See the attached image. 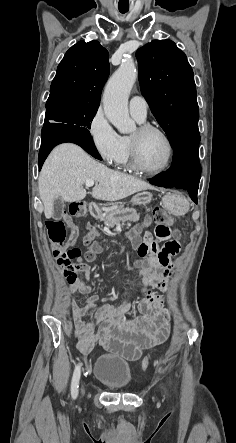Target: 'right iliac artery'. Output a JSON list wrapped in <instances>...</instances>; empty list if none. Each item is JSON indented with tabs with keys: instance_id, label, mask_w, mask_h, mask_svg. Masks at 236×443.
<instances>
[{
	"instance_id": "82829eb1",
	"label": "right iliac artery",
	"mask_w": 236,
	"mask_h": 443,
	"mask_svg": "<svg viewBox=\"0 0 236 443\" xmlns=\"http://www.w3.org/2000/svg\"><path fill=\"white\" fill-rule=\"evenodd\" d=\"M79 379H80V365L76 366L72 377L71 394L73 399H75L78 395Z\"/></svg>"
}]
</instances>
